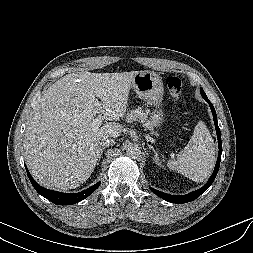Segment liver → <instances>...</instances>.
Instances as JSON below:
<instances>
[{"instance_id":"6515ba94","label":"liver","mask_w":253,"mask_h":253,"mask_svg":"<svg viewBox=\"0 0 253 253\" xmlns=\"http://www.w3.org/2000/svg\"><path fill=\"white\" fill-rule=\"evenodd\" d=\"M138 72H76L61 77L43 93L23 145L27 166L41 185L65 191L90 177L101 154L100 140L117 138L123 130L112 121L124 116ZM96 115L111 122L95 128Z\"/></svg>"}]
</instances>
